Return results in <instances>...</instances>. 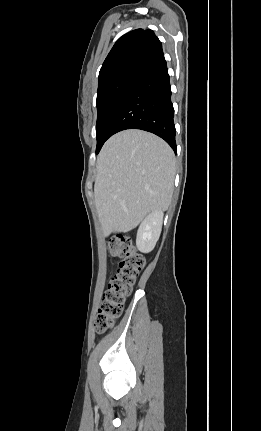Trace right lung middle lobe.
<instances>
[{
  "mask_svg": "<svg viewBox=\"0 0 261 431\" xmlns=\"http://www.w3.org/2000/svg\"><path fill=\"white\" fill-rule=\"evenodd\" d=\"M139 73V70H129L98 85L96 154L99 153L104 142L110 137L111 123Z\"/></svg>",
  "mask_w": 261,
  "mask_h": 431,
  "instance_id": "dd1d6c3e",
  "label": "right lung middle lobe"
}]
</instances>
